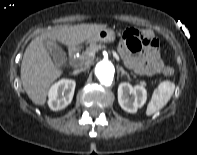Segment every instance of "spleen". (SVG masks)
Masks as SVG:
<instances>
[{"instance_id": "spleen-1", "label": "spleen", "mask_w": 197, "mask_h": 155, "mask_svg": "<svg viewBox=\"0 0 197 155\" xmlns=\"http://www.w3.org/2000/svg\"><path fill=\"white\" fill-rule=\"evenodd\" d=\"M175 90V84L170 81L161 82L154 90L148 103L146 114L152 115L162 109L170 100Z\"/></svg>"}]
</instances>
